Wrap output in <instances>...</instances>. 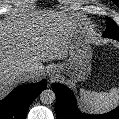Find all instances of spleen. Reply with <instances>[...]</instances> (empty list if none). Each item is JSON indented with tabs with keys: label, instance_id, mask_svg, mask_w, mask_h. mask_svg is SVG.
Returning a JSON list of instances; mask_svg holds the SVG:
<instances>
[{
	"label": "spleen",
	"instance_id": "1",
	"mask_svg": "<svg viewBox=\"0 0 119 119\" xmlns=\"http://www.w3.org/2000/svg\"><path fill=\"white\" fill-rule=\"evenodd\" d=\"M80 101L84 110L90 113L102 114L119 105V88H112L109 92L81 89Z\"/></svg>",
	"mask_w": 119,
	"mask_h": 119
}]
</instances>
